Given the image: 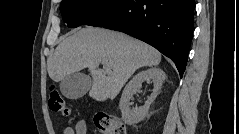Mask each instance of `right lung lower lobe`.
Segmentation results:
<instances>
[{"mask_svg": "<svg viewBox=\"0 0 239 134\" xmlns=\"http://www.w3.org/2000/svg\"><path fill=\"white\" fill-rule=\"evenodd\" d=\"M194 0H117L85 25L140 39L172 59L182 77L194 27Z\"/></svg>", "mask_w": 239, "mask_h": 134, "instance_id": "obj_1", "label": "right lung lower lobe"}]
</instances>
